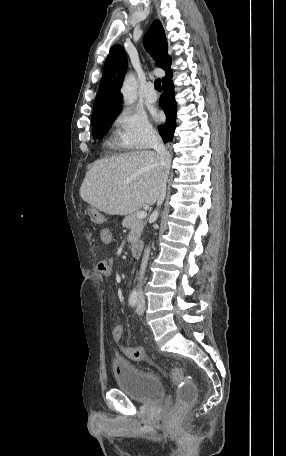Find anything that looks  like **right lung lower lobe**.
<instances>
[{
	"label": "right lung lower lobe",
	"instance_id": "obj_1",
	"mask_svg": "<svg viewBox=\"0 0 286 456\" xmlns=\"http://www.w3.org/2000/svg\"><path fill=\"white\" fill-rule=\"evenodd\" d=\"M162 86L164 91L160 97L159 104L166 113L167 121L164 125H160L159 131L164 143H168L172 140L175 131L177 107L174 99V85L171 78L163 82Z\"/></svg>",
	"mask_w": 286,
	"mask_h": 456
}]
</instances>
